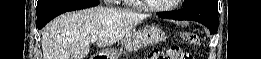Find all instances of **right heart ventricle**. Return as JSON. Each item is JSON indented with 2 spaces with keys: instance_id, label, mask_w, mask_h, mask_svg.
I'll list each match as a JSON object with an SVG mask.
<instances>
[{
  "instance_id": "right-heart-ventricle-1",
  "label": "right heart ventricle",
  "mask_w": 261,
  "mask_h": 59,
  "mask_svg": "<svg viewBox=\"0 0 261 59\" xmlns=\"http://www.w3.org/2000/svg\"><path fill=\"white\" fill-rule=\"evenodd\" d=\"M124 2H129V0H125Z\"/></svg>"
}]
</instances>
